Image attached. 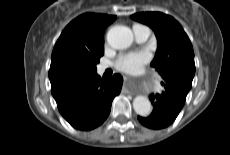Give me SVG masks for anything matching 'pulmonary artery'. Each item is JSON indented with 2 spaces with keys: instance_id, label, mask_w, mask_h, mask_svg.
I'll use <instances>...</instances> for the list:
<instances>
[{
  "instance_id": "obj_1",
  "label": "pulmonary artery",
  "mask_w": 230,
  "mask_h": 155,
  "mask_svg": "<svg viewBox=\"0 0 230 155\" xmlns=\"http://www.w3.org/2000/svg\"><path fill=\"white\" fill-rule=\"evenodd\" d=\"M133 33L137 42H144L150 35V30L146 26H137L133 28ZM106 69L105 65H101L98 68L99 73H103Z\"/></svg>"
}]
</instances>
